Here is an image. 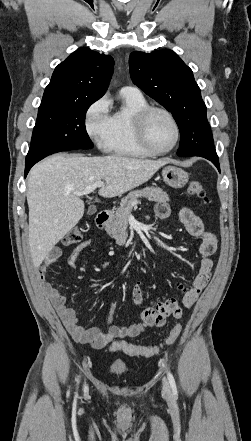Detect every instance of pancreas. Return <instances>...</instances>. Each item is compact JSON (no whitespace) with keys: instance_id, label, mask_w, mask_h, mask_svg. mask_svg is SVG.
Listing matches in <instances>:
<instances>
[{"instance_id":"cf45deb5","label":"pancreas","mask_w":251,"mask_h":441,"mask_svg":"<svg viewBox=\"0 0 251 441\" xmlns=\"http://www.w3.org/2000/svg\"><path fill=\"white\" fill-rule=\"evenodd\" d=\"M139 197H146L149 201L168 202L169 196L161 188L145 187L140 190L131 191L121 200L120 207L114 212L110 221L106 224V232L116 240L117 244L125 243L128 233V216L132 211V202L137 201Z\"/></svg>"}]
</instances>
